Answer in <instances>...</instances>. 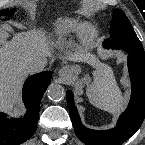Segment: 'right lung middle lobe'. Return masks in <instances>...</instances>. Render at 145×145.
<instances>
[{
	"label": "right lung middle lobe",
	"mask_w": 145,
	"mask_h": 145,
	"mask_svg": "<svg viewBox=\"0 0 145 145\" xmlns=\"http://www.w3.org/2000/svg\"><path fill=\"white\" fill-rule=\"evenodd\" d=\"M13 11H0V17L5 16V15H11Z\"/></svg>",
	"instance_id": "right-lung-middle-lobe-1"
}]
</instances>
